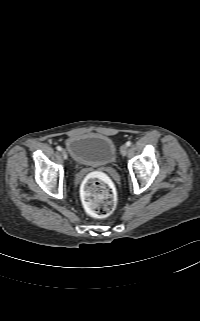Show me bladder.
Here are the masks:
<instances>
[{"label":"bladder","mask_w":200,"mask_h":321,"mask_svg":"<svg viewBox=\"0 0 200 321\" xmlns=\"http://www.w3.org/2000/svg\"><path fill=\"white\" fill-rule=\"evenodd\" d=\"M66 149L76 163L86 166L107 165L116 157L114 141L98 133L73 135L66 141Z\"/></svg>","instance_id":"31cf9c89"}]
</instances>
